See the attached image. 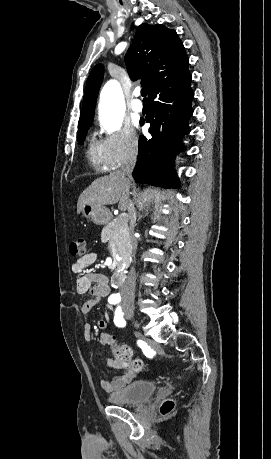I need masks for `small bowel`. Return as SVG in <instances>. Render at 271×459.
I'll return each instance as SVG.
<instances>
[{"label": "small bowel", "mask_w": 271, "mask_h": 459, "mask_svg": "<svg viewBox=\"0 0 271 459\" xmlns=\"http://www.w3.org/2000/svg\"><path fill=\"white\" fill-rule=\"evenodd\" d=\"M96 252H89L78 258L72 265V270L80 274L77 279L76 289L79 294L89 293L91 298L87 300L81 310L85 317H87L92 308L99 302V300L107 296L109 288L107 285L108 279L105 275L94 272H86L85 269L94 264L97 260ZM97 327L99 329H106L107 323L104 319H98ZM83 335L86 341L92 339V327L89 323H85L83 328ZM100 341L104 345H110L113 342V337L108 333H103L100 336ZM106 368L122 370V372L113 378L104 379L100 382L101 388L107 392L117 391L127 385L135 377V373L123 366V364L116 358H108L106 361Z\"/></svg>", "instance_id": "small-bowel-1"}]
</instances>
